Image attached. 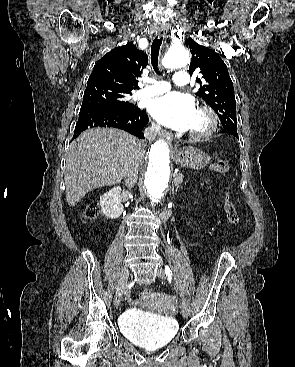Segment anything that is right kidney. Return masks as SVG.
I'll use <instances>...</instances> for the list:
<instances>
[{"mask_svg": "<svg viewBox=\"0 0 295 367\" xmlns=\"http://www.w3.org/2000/svg\"><path fill=\"white\" fill-rule=\"evenodd\" d=\"M99 206L106 218L117 219L123 212L121 203V188L119 186L112 188L100 197Z\"/></svg>", "mask_w": 295, "mask_h": 367, "instance_id": "ca27d5eb", "label": "right kidney"}]
</instances>
